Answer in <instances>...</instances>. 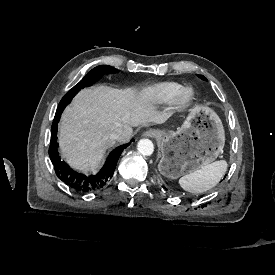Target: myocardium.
<instances>
[{
    "label": "myocardium",
    "mask_w": 275,
    "mask_h": 275,
    "mask_svg": "<svg viewBox=\"0 0 275 275\" xmlns=\"http://www.w3.org/2000/svg\"><path fill=\"white\" fill-rule=\"evenodd\" d=\"M194 100V91L190 87H180L172 99L174 112L185 111Z\"/></svg>",
    "instance_id": "myocardium-1"
}]
</instances>
